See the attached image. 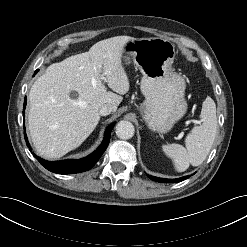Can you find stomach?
Here are the masks:
<instances>
[{"mask_svg": "<svg viewBox=\"0 0 247 247\" xmlns=\"http://www.w3.org/2000/svg\"><path fill=\"white\" fill-rule=\"evenodd\" d=\"M123 53L143 75L140 88L145 101L139 110L148 128L161 134L169 132L188 108L186 82L172 69L175 45L163 38H134L126 43Z\"/></svg>", "mask_w": 247, "mask_h": 247, "instance_id": "1", "label": "stomach"}]
</instances>
